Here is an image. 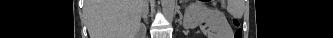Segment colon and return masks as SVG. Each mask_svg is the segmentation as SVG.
Returning a JSON list of instances; mask_svg holds the SVG:
<instances>
[{"label":"colon","mask_w":333,"mask_h":38,"mask_svg":"<svg viewBox=\"0 0 333 38\" xmlns=\"http://www.w3.org/2000/svg\"><path fill=\"white\" fill-rule=\"evenodd\" d=\"M233 24L236 27L234 38H242V30L239 27V22L236 19H233Z\"/></svg>","instance_id":"5ec220e1"}]
</instances>
